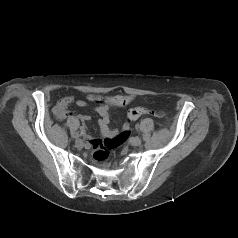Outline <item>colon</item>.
<instances>
[{
    "label": "colon",
    "mask_w": 238,
    "mask_h": 238,
    "mask_svg": "<svg viewBox=\"0 0 238 238\" xmlns=\"http://www.w3.org/2000/svg\"><path fill=\"white\" fill-rule=\"evenodd\" d=\"M149 113L153 112L143 107L129 110L125 118L122 120L121 133L117 134L114 137L105 138L104 140H98L95 142V144L93 145L94 157L98 160L106 159L111 150L115 149L126 141L128 135L132 132V123L136 120V118Z\"/></svg>",
    "instance_id": "obj_1"
}]
</instances>
